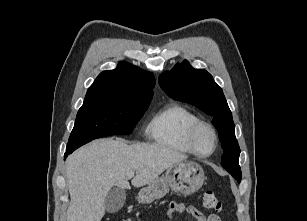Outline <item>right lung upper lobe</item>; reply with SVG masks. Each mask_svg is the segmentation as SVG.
<instances>
[{"mask_svg": "<svg viewBox=\"0 0 307 221\" xmlns=\"http://www.w3.org/2000/svg\"><path fill=\"white\" fill-rule=\"evenodd\" d=\"M154 85L152 73L122 61L116 69L106 70L98 75L88 89L84 102L112 97L151 101Z\"/></svg>", "mask_w": 307, "mask_h": 221, "instance_id": "right-lung-upper-lobe-1", "label": "right lung upper lobe"}]
</instances>
